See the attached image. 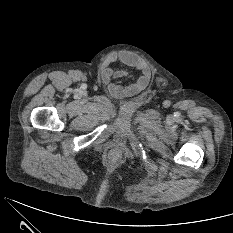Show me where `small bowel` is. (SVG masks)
<instances>
[{"instance_id":"1","label":"small bowel","mask_w":233,"mask_h":233,"mask_svg":"<svg viewBox=\"0 0 233 233\" xmlns=\"http://www.w3.org/2000/svg\"><path fill=\"white\" fill-rule=\"evenodd\" d=\"M115 63H122L128 67L135 68L141 74L135 81L124 86L120 85L115 80L124 77L126 72L124 70L115 71L112 67ZM100 77L113 97L125 98L134 96L144 90L149 84L151 72L148 65L138 56L130 52H116L110 54L103 62Z\"/></svg>"}]
</instances>
